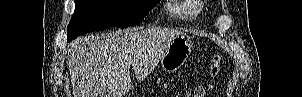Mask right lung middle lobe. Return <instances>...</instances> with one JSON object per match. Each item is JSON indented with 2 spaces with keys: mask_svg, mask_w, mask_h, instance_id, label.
<instances>
[{
  "mask_svg": "<svg viewBox=\"0 0 302 97\" xmlns=\"http://www.w3.org/2000/svg\"><path fill=\"white\" fill-rule=\"evenodd\" d=\"M159 0H75V13L67 28V41L109 27H129L141 22Z\"/></svg>",
  "mask_w": 302,
  "mask_h": 97,
  "instance_id": "obj_1",
  "label": "right lung middle lobe"
}]
</instances>
